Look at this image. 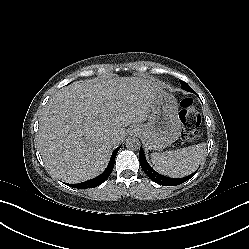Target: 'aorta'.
Returning a JSON list of instances; mask_svg holds the SVG:
<instances>
[{
	"instance_id": "1",
	"label": "aorta",
	"mask_w": 249,
	"mask_h": 249,
	"mask_svg": "<svg viewBox=\"0 0 249 249\" xmlns=\"http://www.w3.org/2000/svg\"><path fill=\"white\" fill-rule=\"evenodd\" d=\"M127 149L137 150L140 147V141L136 137H129L125 143Z\"/></svg>"
}]
</instances>
